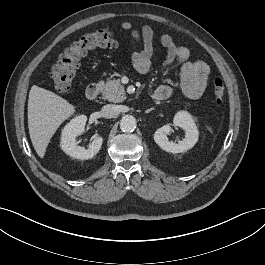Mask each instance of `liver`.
Listing matches in <instances>:
<instances>
[{
	"instance_id": "obj_1",
	"label": "liver",
	"mask_w": 265,
	"mask_h": 265,
	"mask_svg": "<svg viewBox=\"0 0 265 265\" xmlns=\"http://www.w3.org/2000/svg\"><path fill=\"white\" fill-rule=\"evenodd\" d=\"M75 112V107L55 93L31 87L28 100V128L32 145L43 158L50 139L59 126Z\"/></svg>"
}]
</instances>
